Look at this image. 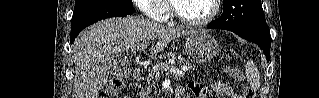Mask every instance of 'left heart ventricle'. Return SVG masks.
<instances>
[{
  "instance_id": "b2bd125f",
  "label": "left heart ventricle",
  "mask_w": 319,
  "mask_h": 98,
  "mask_svg": "<svg viewBox=\"0 0 319 98\" xmlns=\"http://www.w3.org/2000/svg\"><path fill=\"white\" fill-rule=\"evenodd\" d=\"M176 7L179 13L190 20H199L212 11L211 0H178Z\"/></svg>"
}]
</instances>
